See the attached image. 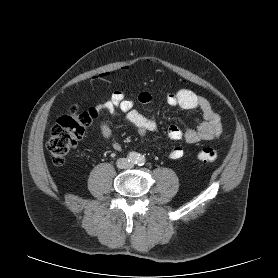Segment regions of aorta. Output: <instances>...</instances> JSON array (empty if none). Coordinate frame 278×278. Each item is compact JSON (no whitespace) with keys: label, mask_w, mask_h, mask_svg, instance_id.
Wrapping results in <instances>:
<instances>
[{"label":"aorta","mask_w":278,"mask_h":278,"mask_svg":"<svg viewBox=\"0 0 278 278\" xmlns=\"http://www.w3.org/2000/svg\"><path fill=\"white\" fill-rule=\"evenodd\" d=\"M144 157H142V156H139V158L136 160V162L138 163V164H140V163H144Z\"/></svg>","instance_id":"aorta-1"}]
</instances>
